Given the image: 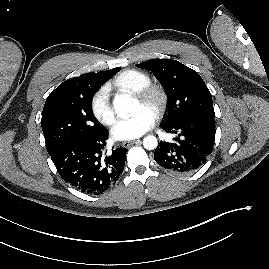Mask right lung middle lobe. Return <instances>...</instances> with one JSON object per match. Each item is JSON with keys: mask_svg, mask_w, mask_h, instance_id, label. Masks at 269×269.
<instances>
[{"mask_svg": "<svg viewBox=\"0 0 269 269\" xmlns=\"http://www.w3.org/2000/svg\"><path fill=\"white\" fill-rule=\"evenodd\" d=\"M119 70L116 68V72ZM107 79L57 87L50 93L41 119L48 153L69 140L86 138L104 129L93 116L91 102Z\"/></svg>", "mask_w": 269, "mask_h": 269, "instance_id": "right-lung-middle-lobe-1", "label": "right lung middle lobe"}]
</instances>
